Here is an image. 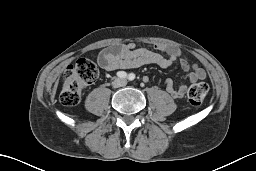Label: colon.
<instances>
[{
  "instance_id": "colon-1",
  "label": "colon",
  "mask_w": 256,
  "mask_h": 171,
  "mask_svg": "<svg viewBox=\"0 0 256 171\" xmlns=\"http://www.w3.org/2000/svg\"><path fill=\"white\" fill-rule=\"evenodd\" d=\"M98 76L97 66L88 59H79L70 65L65 73L60 92V101L63 105L74 106L79 103L84 87L92 84ZM209 92L207 83L193 84L187 93L188 101L192 106H199Z\"/></svg>"
}]
</instances>
